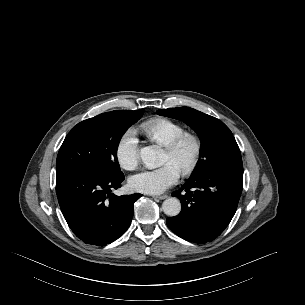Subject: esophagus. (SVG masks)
Wrapping results in <instances>:
<instances>
[{"label": "esophagus", "mask_w": 305, "mask_h": 305, "mask_svg": "<svg viewBox=\"0 0 305 305\" xmlns=\"http://www.w3.org/2000/svg\"><path fill=\"white\" fill-rule=\"evenodd\" d=\"M155 199H158V200H164L166 199L168 196L167 195H158V196H153Z\"/></svg>", "instance_id": "34e87169"}]
</instances>
